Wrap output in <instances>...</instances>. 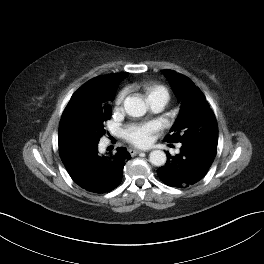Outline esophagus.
<instances>
[{"label":"esophagus","instance_id":"esophagus-1","mask_svg":"<svg viewBox=\"0 0 264 264\" xmlns=\"http://www.w3.org/2000/svg\"><path fill=\"white\" fill-rule=\"evenodd\" d=\"M141 152H143V151H141V150H136V149H129V153H130L132 156H134V155H136V154H139V153H141Z\"/></svg>","mask_w":264,"mask_h":264}]
</instances>
